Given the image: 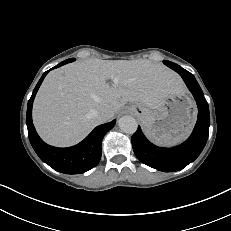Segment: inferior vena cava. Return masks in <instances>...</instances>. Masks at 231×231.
<instances>
[{
    "label": "inferior vena cava",
    "instance_id": "inferior-vena-cava-1",
    "mask_svg": "<svg viewBox=\"0 0 231 231\" xmlns=\"http://www.w3.org/2000/svg\"><path fill=\"white\" fill-rule=\"evenodd\" d=\"M97 116L100 119L101 123H105L112 117V115L107 110L100 111Z\"/></svg>",
    "mask_w": 231,
    "mask_h": 231
}]
</instances>
